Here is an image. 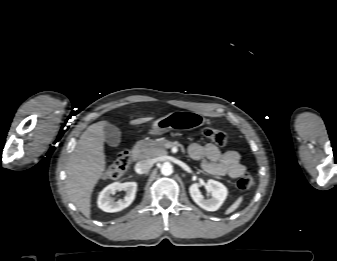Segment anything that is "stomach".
Returning a JSON list of instances; mask_svg holds the SVG:
<instances>
[{"instance_id": "1", "label": "stomach", "mask_w": 337, "mask_h": 261, "mask_svg": "<svg viewBox=\"0 0 337 261\" xmlns=\"http://www.w3.org/2000/svg\"><path fill=\"white\" fill-rule=\"evenodd\" d=\"M205 121V118L197 112L174 111L156 120L149 133L161 135L171 130L189 131L204 125Z\"/></svg>"}]
</instances>
